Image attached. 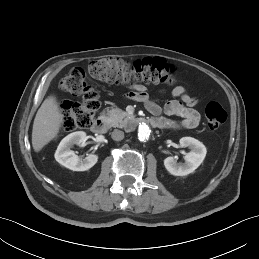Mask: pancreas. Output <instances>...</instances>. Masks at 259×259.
<instances>
[{
	"label": "pancreas",
	"instance_id": "cf45deb5",
	"mask_svg": "<svg viewBox=\"0 0 259 259\" xmlns=\"http://www.w3.org/2000/svg\"><path fill=\"white\" fill-rule=\"evenodd\" d=\"M106 121L111 127L124 128L127 127L129 121L134 118L133 115L122 111L119 108H112L107 110Z\"/></svg>",
	"mask_w": 259,
	"mask_h": 259
}]
</instances>
